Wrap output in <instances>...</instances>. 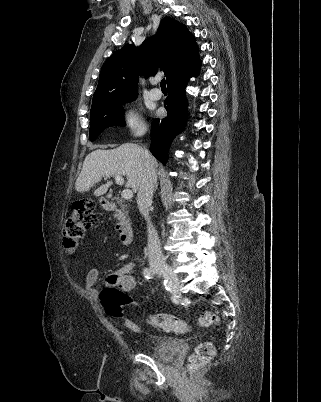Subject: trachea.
<instances>
[{"label":"trachea","mask_w":321,"mask_h":402,"mask_svg":"<svg viewBox=\"0 0 321 402\" xmlns=\"http://www.w3.org/2000/svg\"><path fill=\"white\" fill-rule=\"evenodd\" d=\"M160 86H161L162 89H166V82H165V79H162V80H161Z\"/></svg>","instance_id":"1"}]
</instances>
